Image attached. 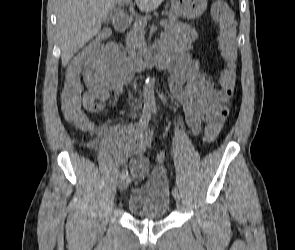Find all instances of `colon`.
I'll return each instance as SVG.
<instances>
[{
    "label": "colon",
    "instance_id": "colon-1",
    "mask_svg": "<svg viewBox=\"0 0 295 250\" xmlns=\"http://www.w3.org/2000/svg\"><path fill=\"white\" fill-rule=\"evenodd\" d=\"M212 15L218 25V46L225 62V68L221 74L220 85L227 100H229L235 88V62L237 49L235 45L236 25L233 14L225 2H216L212 7ZM108 33L101 31L83 50L95 54L102 50ZM82 85L75 77H66L61 91V108L68 122L81 130H89L92 127L90 120L83 110L81 102ZM223 121L208 124L204 130L206 142H212L218 136Z\"/></svg>",
    "mask_w": 295,
    "mask_h": 250
}]
</instances>
